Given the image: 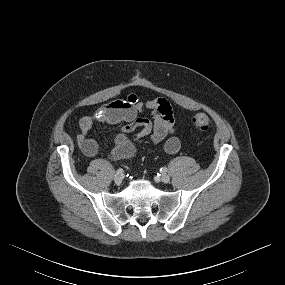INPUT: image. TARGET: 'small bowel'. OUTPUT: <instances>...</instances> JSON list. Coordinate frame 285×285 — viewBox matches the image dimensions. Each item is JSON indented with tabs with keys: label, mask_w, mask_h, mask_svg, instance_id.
Here are the masks:
<instances>
[{
	"label": "small bowel",
	"mask_w": 285,
	"mask_h": 285,
	"mask_svg": "<svg viewBox=\"0 0 285 285\" xmlns=\"http://www.w3.org/2000/svg\"><path fill=\"white\" fill-rule=\"evenodd\" d=\"M144 112L151 113L152 119L140 116ZM95 123H124L121 128L124 133L139 129V133L133 138L134 141L145 136H150L151 142L155 145L164 141V150L168 154L177 153L181 146L179 138L175 135L172 108L163 98L142 101L136 94H130L125 99L104 104L90 115L82 117L79 121L77 142L88 156H94L98 151L96 141L88 137Z\"/></svg>",
	"instance_id": "1"
}]
</instances>
